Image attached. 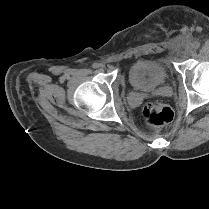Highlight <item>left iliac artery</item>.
Returning a JSON list of instances; mask_svg holds the SVG:
<instances>
[{
	"label": "left iliac artery",
	"mask_w": 209,
	"mask_h": 209,
	"mask_svg": "<svg viewBox=\"0 0 209 209\" xmlns=\"http://www.w3.org/2000/svg\"><path fill=\"white\" fill-rule=\"evenodd\" d=\"M192 46H193L194 49H198L199 46H200V43H199V42H194V43L192 44Z\"/></svg>",
	"instance_id": "44dca946"
}]
</instances>
